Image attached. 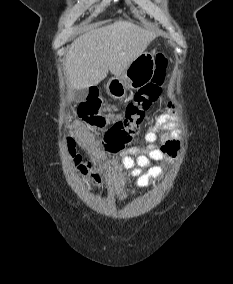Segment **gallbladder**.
Returning a JSON list of instances; mask_svg holds the SVG:
<instances>
[{"label":"gallbladder","instance_id":"bac80fb5","mask_svg":"<svg viewBox=\"0 0 233 284\" xmlns=\"http://www.w3.org/2000/svg\"><path fill=\"white\" fill-rule=\"evenodd\" d=\"M87 95H88L87 89L78 90V91L75 93V101H76V102L84 101V100L86 99Z\"/></svg>","mask_w":233,"mask_h":284}]
</instances>
